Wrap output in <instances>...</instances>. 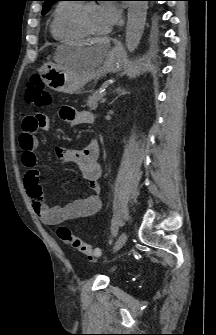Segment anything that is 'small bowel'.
I'll use <instances>...</instances> for the list:
<instances>
[{"label": "small bowel", "mask_w": 216, "mask_h": 335, "mask_svg": "<svg viewBox=\"0 0 216 335\" xmlns=\"http://www.w3.org/2000/svg\"><path fill=\"white\" fill-rule=\"evenodd\" d=\"M60 116L72 126L92 123L93 115L88 111H75L71 106H62ZM50 124L43 113H32L23 120L19 145L22 162L26 168L24 184L32 206L41 221L46 225H59L68 220L88 217L100 210L99 179L102 174L99 163L100 146L97 139H91L81 150L56 147L57 155L66 162L75 164L83 177L90 183L92 193L83 199L64 206H49L44 198L37 170L38 131H48Z\"/></svg>", "instance_id": "obj_1"}]
</instances>
